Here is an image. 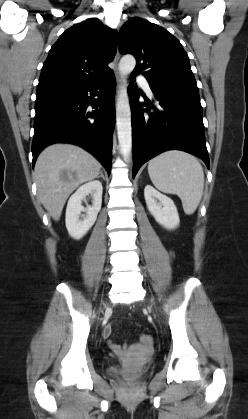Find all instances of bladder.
I'll use <instances>...</instances> for the list:
<instances>
[{
    "label": "bladder",
    "mask_w": 248,
    "mask_h": 419,
    "mask_svg": "<svg viewBox=\"0 0 248 419\" xmlns=\"http://www.w3.org/2000/svg\"><path fill=\"white\" fill-rule=\"evenodd\" d=\"M108 373L117 379L125 380L128 382H138L142 380L146 373L144 371L128 372L122 366H112L108 368Z\"/></svg>",
    "instance_id": "bladder-1"
}]
</instances>
